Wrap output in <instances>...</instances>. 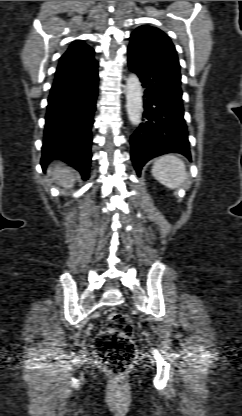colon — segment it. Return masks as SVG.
I'll use <instances>...</instances> for the list:
<instances>
[{
  "label": "colon",
  "mask_w": 242,
  "mask_h": 416,
  "mask_svg": "<svg viewBox=\"0 0 242 416\" xmlns=\"http://www.w3.org/2000/svg\"><path fill=\"white\" fill-rule=\"evenodd\" d=\"M133 323L122 312H111L105 330L95 339L94 348L108 370L120 375L127 371L136 358V346L131 339Z\"/></svg>",
  "instance_id": "colon-1"
}]
</instances>
